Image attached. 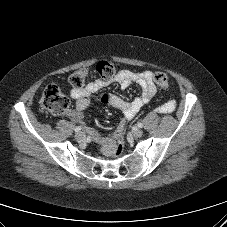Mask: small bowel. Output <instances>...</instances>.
Listing matches in <instances>:
<instances>
[{
	"mask_svg": "<svg viewBox=\"0 0 227 227\" xmlns=\"http://www.w3.org/2000/svg\"><path fill=\"white\" fill-rule=\"evenodd\" d=\"M151 71L136 72L124 69L110 80L96 79L86 85L85 88L73 89L70 93L75 101V109L70 110L67 116L74 122L83 123V111L89 106L91 94L100 91L111 83L118 84L122 89L128 88L132 83L137 84L142 93L133 101H126L117 95L103 93L100 100L120 110L125 120H131L134 116L153 98L156 93V85ZM176 107L174 100L167 101L157 108L159 113H170ZM124 122H121L117 129L111 135H102L98 131L89 129V134L93 140L99 144L102 153L110 156L115 153L121 134L123 132Z\"/></svg>",
	"mask_w": 227,
	"mask_h": 227,
	"instance_id": "1",
	"label": "small bowel"
}]
</instances>
